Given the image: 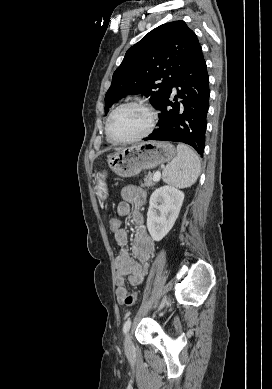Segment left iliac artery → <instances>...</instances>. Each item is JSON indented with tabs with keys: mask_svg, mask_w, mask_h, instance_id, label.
<instances>
[{
	"mask_svg": "<svg viewBox=\"0 0 272 389\" xmlns=\"http://www.w3.org/2000/svg\"><path fill=\"white\" fill-rule=\"evenodd\" d=\"M130 326H131V320L128 319V320H126V322L123 325V333L124 334H126L129 331Z\"/></svg>",
	"mask_w": 272,
	"mask_h": 389,
	"instance_id": "obj_1",
	"label": "left iliac artery"
}]
</instances>
